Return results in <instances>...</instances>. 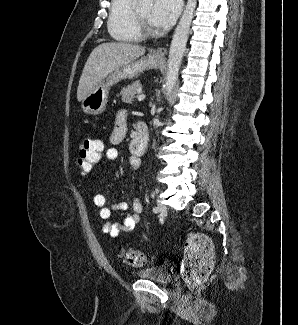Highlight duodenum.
Segmentation results:
<instances>
[{
  "label": "duodenum",
  "mask_w": 298,
  "mask_h": 325,
  "mask_svg": "<svg viewBox=\"0 0 298 325\" xmlns=\"http://www.w3.org/2000/svg\"><path fill=\"white\" fill-rule=\"evenodd\" d=\"M149 141V132L147 126L143 122H138L135 132L130 142V151L135 156H141Z\"/></svg>",
  "instance_id": "duodenum-1"
}]
</instances>
